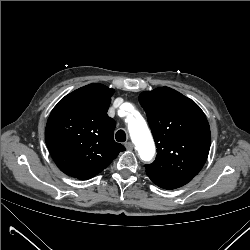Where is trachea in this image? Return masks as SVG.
Masks as SVG:
<instances>
[{
	"label": "trachea",
	"instance_id": "trachea-1",
	"mask_svg": "<svg viewBox=\"0 0 250 250\" xmlns=\"http://www.w3.org/2000/svg\"><path fill=\"white\" fill-rule=\"evenodd\" d=\"M115 138L118 142H124L126 141V133L123 130L117 131Z\"/></svg>",
	"mask_w": 250,
	"mask_h": 250
}]
</instances>
